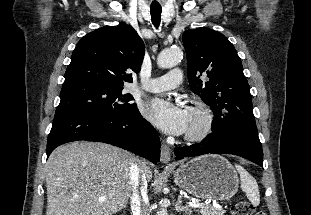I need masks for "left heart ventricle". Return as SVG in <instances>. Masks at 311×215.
Masks as SVG:
<instances>
[{
	"label": "left heart ventricle",
	"instance_id": "b2bd125f",
	"mask_svg": "<svg viewBox=\"0 0 311 215\" xmlns=\"http://www.w3.org/2000/svg\"><path fill=\"white\" fill-rule=\"evenodd\" d=\"M189 114H190V119H189V125H188L187 130L195 129L199 126V118L196 115L192 114L190 111H189Z\"/></svg>",
	"mask_w": 311,
	"mask_h": 215
}]
</instances>
